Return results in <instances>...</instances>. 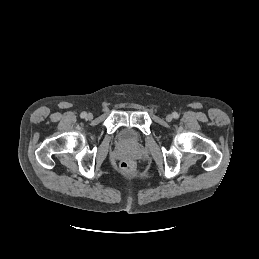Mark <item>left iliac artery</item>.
Returning <instances> with one entry per match:
<instances>
[{"instance_id": "1", "label": "left iliac artery", "mask_w": 259, "mask_h": 259, "mask_svg": "<svg viewBox=\"0 0 259 259\" xmlns=\"http://www.w3.org/2000/svg\"><path fill=\"white\" fill-rule=\"evenodd\" d=\"M173 117H174L175 119H177V118L179 117L178 113H177V112H173Z\"/></svg>"}]
</instances>
